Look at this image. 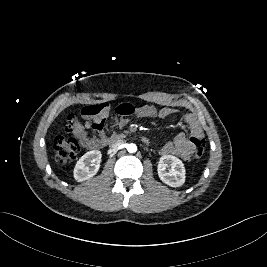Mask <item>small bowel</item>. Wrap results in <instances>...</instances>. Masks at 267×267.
Wrapping results in <instances>:
<instances>
[{
	"label": "small bowel",
	"mask_w": 267,
	"mask_h": 267,
	"mask_svg": "<svg viewBox=\"0 0 267 267\" xmlns=\"http://www.w3.org/2000/svg\"><path fill=\"white\" fill-rule=\"evenodd\" d=\"M117 113L113 129L121 128L126 125L128 118L131 116L140 118H168L175 114L171 107L157 109L154 105H142L135 107L130 103H122L114 108ZM83 122L77 120L73 126L74 135L80 140L83 147L87 149H99L106 145L108 138L103 128L104 122L109 116L111 106L107 103H98L86 106L82 109ZM183 122L187 132L179 133L174 140L166 143L162 149V155H174L183 160H188L194 151L191 143L192 138H203V130L191 113L183 115ZM93 130L94 136L89 137L88 131Z\"/></svg>",
	"instance_id": "obj_1"
}]
</instances>
